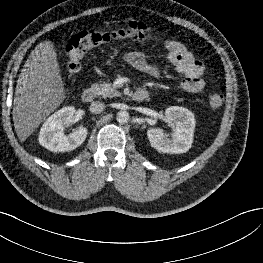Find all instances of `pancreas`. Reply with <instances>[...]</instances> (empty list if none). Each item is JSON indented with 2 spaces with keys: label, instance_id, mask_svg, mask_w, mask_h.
I'll return each instance as SVG.
<instances>
[{
  "label": "pancreas",
  "instance_id": "cf45deb5",
  "mask_svg": "<svg viewBox=\"0 0 263 263\" xmlns=\"http://www.w3.org/2000/svg\"><path fill=\"white\" fill-rule=\"evenodd\" d=\"M92 89L96 95L102 98H112L120 95L117 88L111 83L103 82L102 84H94L92 85Z\"/></svg>",
  "mask_w": 263,
  "mask_h": 263
}]
</instances>
